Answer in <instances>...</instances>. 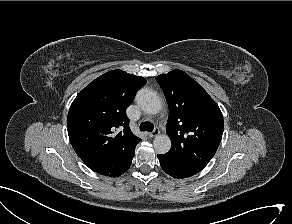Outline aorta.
I'll return each instance as SVG.
<instances>
[{"label": "aorta", "instance_id": "1", "mask_svg": "<svg viewBox=\"0 0 292 224\" xmlns=\"http://www.w3.org/2000/svg\"><path fill=\"white\" fill-rule=\"evenodd\" d=\"M136 102L139 107L148 114H157L162 104L156 92L149 89H141L136 95ZM154 149L159 154L167 153L171 148V140L166 134H159L153 141Z\"/></svg>", "mask_w": 292, "mask_h": 224}]
</instances>
